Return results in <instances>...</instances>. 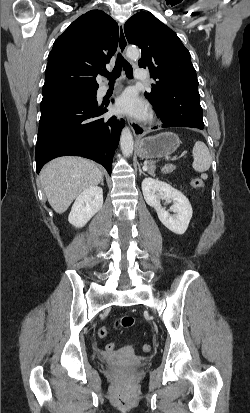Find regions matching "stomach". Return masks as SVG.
Segmentation results:
<instances>
[{"label":"stomach","instance_id":"stomach-1","mask_svg":"<svg viewBox=\"0 0 250 413\" xmlns=\"http://www.w3.org/2000/svg\"><path fill=\"white\" fill-rule=\"evenodd\" d=\"M180 145L179 137L172 132L142 138L137 143V153L141 158H162L174 153Z\"/></svg>","mask_w":250,"mask_h":413}]
</instances>
